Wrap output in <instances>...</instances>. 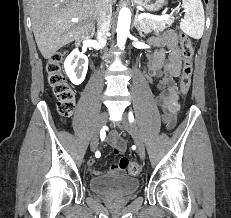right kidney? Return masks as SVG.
I'll list each match as a JSON object with an SVG mask.
<instances>
[{"mask_svg":"<svg viewBox=\"0 0 231 218\" xmlns=\"http://www.w3.org/2000/svg\"><path fill=\"white\" fill-rule=\"evenodd\" d=\"M64 68L71 82L79 85L85 79L88 69V58L80 53L78 49H74L66 58Z\"/></svg>","mask_w":231,"mask_h":218,"instance_id":"obj_1","label":"right kidney"}]
</instances>
